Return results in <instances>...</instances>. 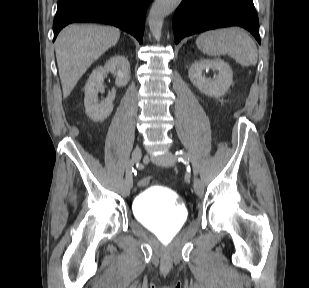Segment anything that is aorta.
I'll list each match as a JSON object with an SVG mask.
<instances>
[{
	"mask_svg": "<svg viewBox=\"0 0 309 288\" xmlns=\"http://www.w3.org/2000/svg\"><path fill=\"white\" fill-rule=\"evenodd\" d=\"M182 0H155L148 17V24L155 39L161 37L164 18L171 14Z\"/></svg>",
	"mask_w": 309,
	"mask_h": 288,
	"instance_id": "1",
	"label": "aorta"
}]
</instances>
